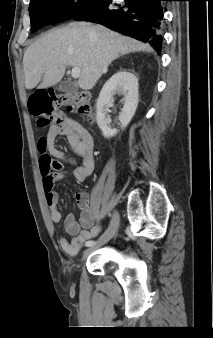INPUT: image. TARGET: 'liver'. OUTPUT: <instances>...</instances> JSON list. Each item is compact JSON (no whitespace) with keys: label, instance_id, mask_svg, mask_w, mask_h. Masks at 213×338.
<instances>
[{"label":"liver","instance_id":"6515ba94","mask_svg":"<svg viewBox=\"0 0 213 338\" xmlns=\"http://www.w3.org/2000/svg\"><path fill=\"white\" fill-rule=\"evenodd\" d=\"M148 44L123 36L101 25L70 23L52 30L31 44L23 57L25 87L53 86L61 81L67 66L81 70L78 85L90 90L112 61L120 55L152 52Z\"/></svg>","mask_w":213,"mask_h":338}]
</instances>
